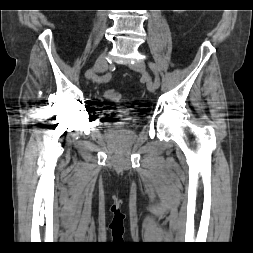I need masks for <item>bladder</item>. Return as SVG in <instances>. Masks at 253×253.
<instances>
[{"mask_svg":"<svg viewBox=\"0 0 253 253\" xmlns=\"http://www.w3.org/2000/svg\"><path fill=\"white\" fill-rule=\"evenodd\" d=\"M139 122L137 118L129 117L124 121L113 124V127L123 128V129H131Z\"/></svg>","mask_w":253,"mask_h":253,"instance_id":"1","label":"bladder"}]
</instances>
